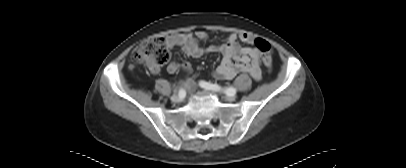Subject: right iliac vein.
<instances>
[{
  "label": "right iliac vein",
  "mask_w": 406,
  "mask_h": 168,
  "mask_svg": "<svg viewBox=\"0 0 406 168\" xmlns=\"http://www.w3.org/2000/svg\"><path fill=\"white\" fill-rule=\"evenodd\" d=\"M180 99H181V98H180L179 95H176V94H175V95H172V96H171V101L174 102V103L179 102Z\"/></svg>",
  "instance_id": "obj_1"
}]
</instances>
